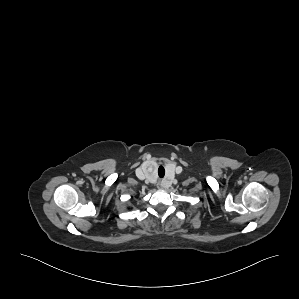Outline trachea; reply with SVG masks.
I'll list each match as a JSON object with an SVG mask.
<instances>
[{
  "label": "trachea",
  "mask_w": 299,
  "mask_h": 299,
  "mask_svg": "<svg viewBox=\"0 0 299 299\" xmlns=\"http://www.w3.org/2000/svg\"><path fill=\"white\" fill-rule=\"evenodd\" d=\"M158 175H159L160 178L164 177V175H165V169H164L163 166H159V168H158Z\"/></svg>",
  "instance_id": "3493384b"
}]
</instances>
